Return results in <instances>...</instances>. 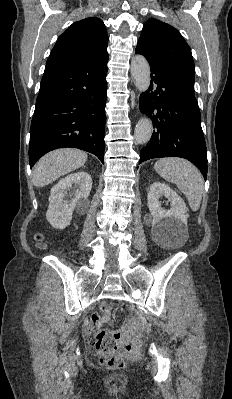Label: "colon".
<instances>
[{
    "label": "colon",
    "instance_id": "1",
    "mask_svg": "<svg viewBox=\"0 0 232 399\" xmlns=\"http://www.w3.org/2000/svg\"><path fill=\"white\" fill-rule=\"evenodd\" d=\"M143 328L138 313L127 317L126 326L120 330L119 326H100L99 330H93L96 353H104L101 358L102 368H120L127 365V358L123 355H111V353H137V340Z\"/></svg>",
    "mask_w": 232,
    "mask_h": 399
}]
</instances>
